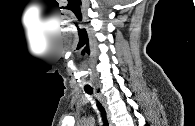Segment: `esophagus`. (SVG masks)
I'll list each match as a JSON object with an SVG mask.
<instances>
[{
	"label": "esophagus",
	"instance_id": "esophagus-1",
	"mask_svg": "<svg viewBox=\"0 0 195 126\" xmlns=\"http://www.w3.org/2000/svg\"><path fill=\"white\" fill-rule=\"evenodd\" d=\"M96 97L98 98V100L100 101V103L102 104V106L106 112V116H107L109 125L112 126L111 119H110L111 118L110 111H109L108 106H107L106 102L104 101L101 93L98 90H96Z\"/></svg>",
	"mask_w": 195,
	"mask_h": 126
}]
</instances>
